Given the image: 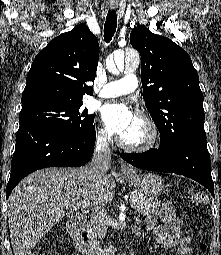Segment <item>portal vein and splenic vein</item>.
<instances>
[{"label":"portal vein and splenic vein","instance_id":"1","mask_svg":"<svg viewBox=\"0 0 221 255\" xmlns=\"http://www.w3.org/2000/svg\"><path fill=\"white\" fill-rule=\"evenodd\" d=\"M134 206H135V202H132V203L130 204V207L134 208ZM74 209L76 210V209H78V207H77V206H74Z\"/></svg>","mask_w":221,"mask_h":255}]
</instances>
